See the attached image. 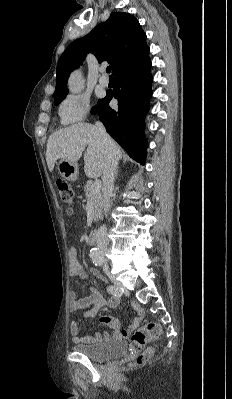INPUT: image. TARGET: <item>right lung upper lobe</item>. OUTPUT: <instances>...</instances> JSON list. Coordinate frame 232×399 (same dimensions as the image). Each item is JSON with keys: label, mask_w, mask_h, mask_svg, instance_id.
Returning <instances> with one entry per match:
<instances>
[{"label": "right lung upper lobe", "mask_w": 232, "mask_h": 399, "mask_svg": "<svg viewBox=\"0 0 232 399\" xmlns=\"http://www.w3.org/2000/svg\"><path fill=\"white\" fill-rule=\"evenodd\" d=\"M89 52L96 56L99 63L108 61L114 74L121 66L148 54L149 47L146 34L134 16L122 12L111 13L107 21L72 42L61 55L53 96L68 92L66 86L71 71L82 63Z\"/></svg>", "instance_id": "cb5924a9"}]
</instances>
